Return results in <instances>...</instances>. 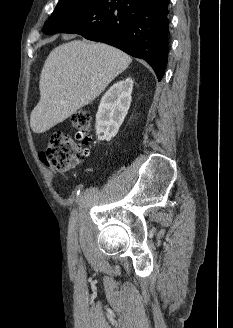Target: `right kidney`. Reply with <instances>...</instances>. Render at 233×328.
I'll return each mask as SVG.
<instances>
[{"label":"right kidney","mask_w":233,"mask_h":328,"mask_svg":"<svg viewBox=\"0 0 233 328\" xmlns=\"http://www.w3.org/2000/svg\"><path fill=\"white\" fill-rule=\"evenodd\" d=\"M133 80L126 78L113 84L103 95L96 114V135L100 141L116 136L131 104Z\"/></svg>","instance_id":"ca27d5eb"}]
</instances>
